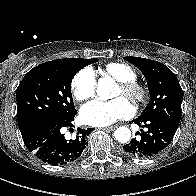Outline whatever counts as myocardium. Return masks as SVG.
Returning a JSON list of instances; mask_svg holds the SVG:
<instances>
[{
  "label": "myocardium",
  "instance_id": "f54148a6",
  "mask_svg": "<svg viewBox=\"0 0 196 196\" xmlns=\"http://www.w3.org/2000/svg\"><path fill=\"white\" fill-rule=\"evenodd\" d=\"M118 87L122 90L124 96L134 103H142L148 95L147 87L135 80L118 81Z\"/></svg>",
  "mask_w": 196,
  "mask_h": 196
}]
</instances>
